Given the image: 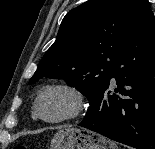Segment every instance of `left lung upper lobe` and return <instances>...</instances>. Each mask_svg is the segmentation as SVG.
<instances>
[{"label":"left lung upper lobe","instance_id":"1","mask_svg":"<svg viewBox=\"0 0 155 149\" xmlns=\"http://www.w3.org/2000/svg\"><path fill=\"white\" fill-rule=\"evenodd\" d=\"M148 0H88L69 11L29 84L64 79L90 101L109 81L115 59L145 17Z\"/></svg>","mask_w":155,"mask_h":149}]
</instances>
